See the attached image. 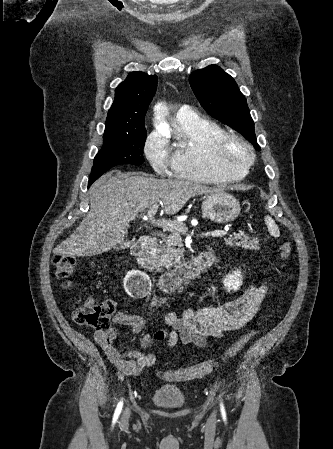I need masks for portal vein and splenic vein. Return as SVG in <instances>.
Wrapping results in <instances>:
<instances>
[{"instance_id": "18ae733b", "label": "portal vein and splenic vein", "mask_w": 333, "mask_h": 449, "mask_svg": "<svg viewBox=\"0 0 333 449\" xmlns=\"http://www.w3.org/2000/svg\"><path fill=\"white\" fill-rule=\"evenodd\" d=\"M161 203V202H160ZM159 205L158 204H153L148 212H147V216L150 218L151 223L163 228L164 230H172V231H184V225L182 224H178L177 222L174 221H167V220H155L154 216L157 212ZM185 232V231H184ZM226 234L225 231H213V232H209V233H205L202 234L201 236H211V237H219V236H224Z\"/></svg>"}]
</instances>
